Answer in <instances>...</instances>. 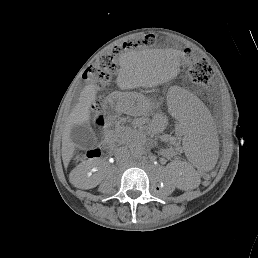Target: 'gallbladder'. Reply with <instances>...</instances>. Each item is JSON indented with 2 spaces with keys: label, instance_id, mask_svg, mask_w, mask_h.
Returning a JSON list of instances; mask_svg holds the SVG:
<instances>
[{
  "label": "gallbladder",
  "instance_id": "obj_1",
  "mask_svg": "<svg viewBox=\"0 0 258 258\" xmlns=\"http://www.w3.org/2000/svg\"><path fill=\"white\" fill-rule=\"evenodd\" d=\"M70 138L81 149H88L96 144V136L88 124L74 125L71 128Z\"/></svg>",
  "mask_w": 258,
  "mask_h": 258
}]
</instances>
